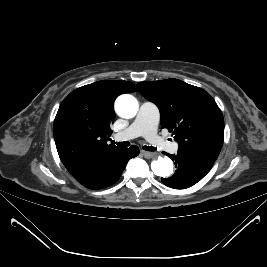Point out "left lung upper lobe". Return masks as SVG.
Returning a JSON list of instances; mask_svg holds the SVG:
<instances>
[{
    "mask_svg": "<svg viewBox=\"0 0 267 267\" xmlns=\"http://www.w3.org/2000/svg\"><path fill=\"white\" fill-rule=\"evenodd\" d=\"M139 92L157 104L161 127L174 135L179 149L217 159L224 137V119L203 89L178 79L139 82Z\"/></svg>",
    "mask_w": 267,
    "mask_h": 267,
    "instance_id": "1",
    "label": "left lung upper lobe"
}]
</instances>
